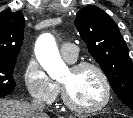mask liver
I'll use <instances>...</instances> for the list:
<instances>
[{
  "label": "liver",
  "mask_w": 133,
  "mask_h": 118,
  "mask_svg": "<svg viewBox=\"0 0 133 118\" xmlns=\"http://www.w3.org/2000/svg\"><path fill=\"white\" fill-rule=\"evenodd\" d=\"M0 118H38L27 102L0 100ZM42 118H48L46 114Z\"/></svg>",
  "instance_id": "1"
}]
</instances>
